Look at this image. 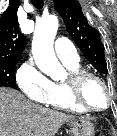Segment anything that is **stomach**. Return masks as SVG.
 Wrapping results in <instances>:
<instances>
[{
  "instance_id": "0dacf381",
  "label": "stomach",
  "mask_w": 117,
  "mask_h": 136,
  "mask_svg": "<svg viewBox=\"0 0 117 136\" xmlns=\"http://www.w3.org/2000/svg\"><path fill=\"white\" fill-rule=\"evenodd\" d=\"M71 136H94L93 124L83 118H78L69 122Z\"/></svg>"
}]
</instances>
